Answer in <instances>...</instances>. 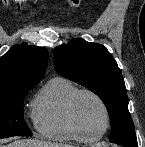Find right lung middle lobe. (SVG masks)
Instances as JSON below:
<instances>
[{
  "mask_svg": "<svg viewBox=\"0 0 145 147\" xmlns=\"http://www.w3.org/2000/svg\"><path fill=\"white\" fill-rule=\"evenodd\" d=\"M35 86L0 91V139L11 136H32L23 119V99Z\"/></svg>",
  "mask_w": 145,
  "mask_h": 147,
  "instance_id": "1",
  "label": "right lung middle lobe"
}]
</instances>
